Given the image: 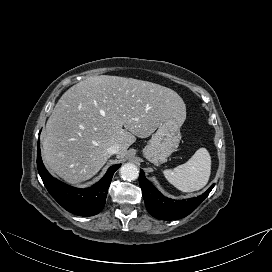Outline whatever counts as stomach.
I'll use <instances>...</instances> for the list:
<instances>
[{"label": "stomach", "mask_w": 272, "mask_h": 272, "mask_svg": "<svg viewBox=\"0 0 272 272\" xmlns=\"http://www.w3.org/2000/svg\"><path fill=\"white\" fill-rule=\"evenodd\" d=\"M181 124L174 117L163 121L152 135L143 154L154 165L166 162L167 158L179 146L181 139Z\"/></svg>", "instance_id": "stomach-1"}]
</instances>
